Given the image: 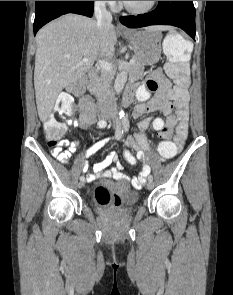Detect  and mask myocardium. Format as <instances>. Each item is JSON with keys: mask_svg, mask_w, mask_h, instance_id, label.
<instances>
[{"mask_svg": "<svg viewBox=\"0 0 233 295\" xmlns=\"http://www.w3.org/2000/svg\"><path fill=\"white\" fill-rule=\"evenodd\" d=\"M158 1H151L150 4L148 6H146L145 8L142 9H135L130 7L129 5H127L124 1H122L123 7L124 9L129 12L130 14L133 15H144L149 13L150 11H152L155 6L157 5Z\"/></svg>", "mask_w": 233, "mask_h": 295, "instance_id": "f54148a6", "label": "myocardium"}]
</instances>
